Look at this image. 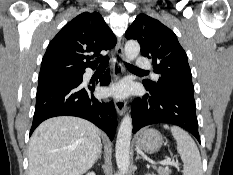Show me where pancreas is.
I'll return each instance as SVG.
<instances>
[{"mask_svg": "<svg viewBox=\"0 0 233 175\" xmlns=\"http://www.w3.org/2000/svg\"><path fill=\"white\" fill-rule=\"evenodd\" d=\"M154 169L158 172L159 175H169L171 173V170L169 168H163V167H159L156 168L154 167Z\"/></svg>", "mask_w": 233, "mask_h": 175, "instance_id": "1", "label": "pancreas"}]
</instances>
